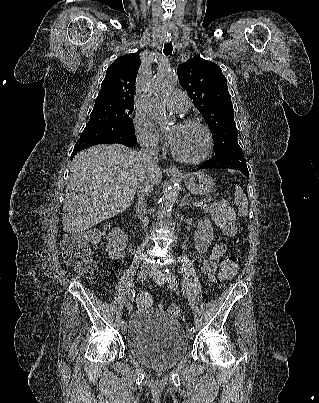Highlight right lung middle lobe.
Returning <instances> with one entry per match:
<instances>
[{
    "instance_id": "dd1d6c3e",
    "label": "right lung middle lobe",
    "mask_w": 319,
    "mask_h": 403,
    "mask_svg": "<svg viewBox=\"0 0 319 403\" xmlns=\"http://www.w3.org/2000/svg\"><path fill=\"white\" fill-rule=\"evenodd\" d=\"M133 109L134 105L131 104L95 102L86 127L119 125L126 130L134 132L133 119L129 117Z\"/></svg>"
}]
</instances>
